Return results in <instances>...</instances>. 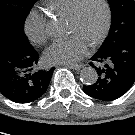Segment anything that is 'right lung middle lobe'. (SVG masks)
Wrapping results in <instances>:
<instances>
[{"label": "right lung middle lobe", "instance_id": "1", "mask_svg": "<svg viewBox=\"0 0 135 135\" xmlns=\"http://www.w3.org/2000/svg\"><path fill=\"white\" fill-rule=\"evenodd\" d=\"M37 0H0V29L12 31L29 43L24 33V22Z\"/></svg>", "mask_w": 135, "mask_h": 135}]
</instances>
